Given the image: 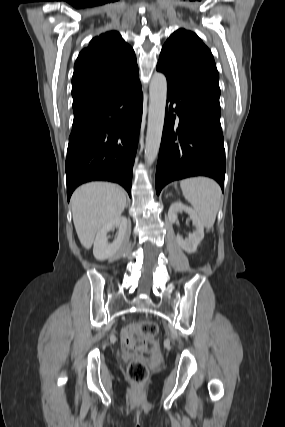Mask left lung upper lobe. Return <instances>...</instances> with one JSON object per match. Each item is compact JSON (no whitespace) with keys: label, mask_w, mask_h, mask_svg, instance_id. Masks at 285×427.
I'll use <instances>...</instances> for the list:
<instances>
[{"label":"left lung upper lobe","mask_w":285,"mask_h":427,"mask_svg":"<svg viewBox=\"0 0 285 427\" xmlns=\"http://www.w3.org/2000/svg\"><path fill=\"white\" fill-rule=\"evenodd\" d=\"M157 66L207 95L220 97L219 74L212 53L201 39L185 29L175 31L165 42Z\"/></svg>","instance_id":"obj_1"}]
</instances>
